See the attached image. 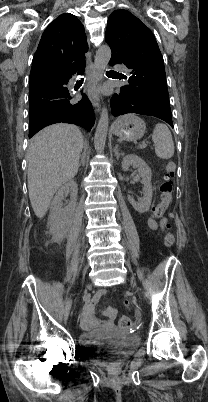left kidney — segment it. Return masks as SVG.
I'll return each instance as SVG.
<instances>
[{
    "instance_id": "obj_1",
    "label": "left kidney",
    "mask_w": 208,
    "mask_h": 402,
    "mask_svg": "<svg viewBox=\"0 0 208 402\" xmlns=\"http://www.w3.org/2000/svg\"><path fill=\"white\" fill-rule=\"evenodd\" d=\"M129 166H133V168H138L139 174H137V176H134V180H140L141 184H144V198H140L139 202H135L134 198L128 196V200L130 204H132L133 208H135V210L139 212V214H144V212H148L152 202V172L149 166H147L146 162H144V160H141V158H139V156H136V154H128V156H125V158H123L122 170L126 172Z\"/></svg>"
}]
</instances>
